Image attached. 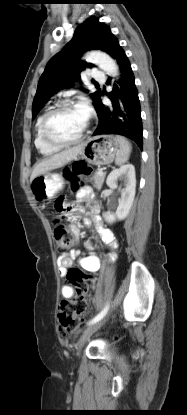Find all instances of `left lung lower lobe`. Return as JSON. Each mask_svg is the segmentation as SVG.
Listing matches in <instances>:
<instances>
[{
    "mask_svg": "<svg viewBox=\"0 0 187 415\" xmlns=\"http://www.w3.org/2000/svg\"><path fill=\"white\" fill-rule=\"evenodd\" d=\"M108 54L117 60L120 68V89L114 85L106 95L112 101V108L105 107L101 96L95 104L99 124L93 135L119 134L129 137L142 149L143 133L138 91L131 65L125 52L115 39Z\"/></svg>",
    "mask_w": 187,
    "mask_h": 415,
    "instance_id": "obj_1",
    "label": "left lung lower lobe"
}]
</instances>
